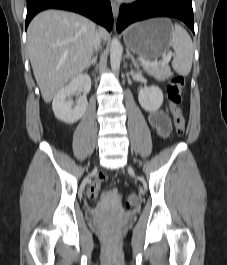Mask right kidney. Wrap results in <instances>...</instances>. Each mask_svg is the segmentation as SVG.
<instances>
[{
    "label": "right kidney",
    "mask_w": 227,
    "mask_h": 265,
    "mask_svg": "<svg viewBox=\"0 0 227 265\" xmlns=\"http://www.w3.org/2000/svg\"><path fill=\"white\" fill-rule=\"evenodd\" d=\"M79 88L83 90V95L78 98L77 105L73 107V101L66 98L75 94ZM90 89L91 78L88 74H79L74 77L68 85L57 92L53 99L52 109L56 118L67 124L77 122L87 109V94Z\"/></svg>",
    "instance_id": "obj_1"
}]
</instances>
